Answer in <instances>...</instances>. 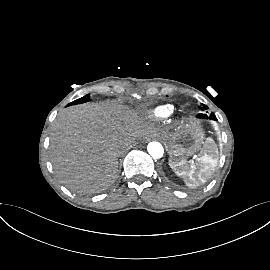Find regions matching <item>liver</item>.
<instances>
[{
    "label": "liver",
    "mask_w": 270,
    "mask_h": 270,
    "mask_svg": "<svg viewBox=\"0 0 270 270\" xmlns=\"http://www.w3.org/2000/svg\"><path fill=\"white\" fill-rule=\"evenodd\" d=\"M138 113L114 102L76 105L61 111L50 136V157L62 182L97 191L117 176L122 147L146 133Z\"/></svg>",
    "instance_id": "6515ba94"
}]
</instances>
